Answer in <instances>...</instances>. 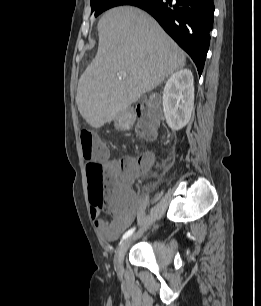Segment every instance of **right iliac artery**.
Segmentation results:
<instances>
[{
    "mask_svg": "<svg viewBox=\"0 0 261 306\" xmlns=\"http://www.w3.org/2000/svg\"><path fill=\"white\" fill-rule=\"evenodd\" d=\"M134 231H135V228H132V229L128 230L127 232H125V234L123 235L122 239L128 238L130 235H132V233Z\"/></svg>",
    "mask_w": 261,
    "mask_h": 306,
    "instance_id": "right-iliac-artery-1",
    "label": "right iliac artery"
}]
</instances>
